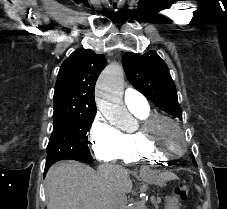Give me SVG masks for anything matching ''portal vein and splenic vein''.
Wrapping results in <instances>:
<instances>
[{"instance_id":"obj_1","label":"portal vein and splenic vein","mask_w":227,"mask_h":209,"mask_svg":"<svg viewBox=\"0 0 227 209\" xmlns=\"http://www.w3.org/2000/svg\"><path fill=\"white\" fill-rule=\"evenodd\" d=\"M151 199L154 201L156 198L153 196Z\"/></svg>"}]
</instances>
